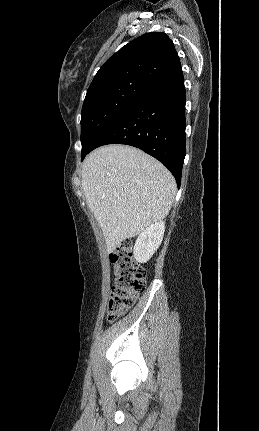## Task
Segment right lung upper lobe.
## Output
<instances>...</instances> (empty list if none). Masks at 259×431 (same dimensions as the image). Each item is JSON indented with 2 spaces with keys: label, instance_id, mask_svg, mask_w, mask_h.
I'll return each instance as SVG.
<instances>
[{
  "label": "right lung upper lobe",
  "instance_id": "obj_1",
  "mask_svg": "<svg viewBox=\"0 0 259 431\" xmlns=\"http://www.w3.org/2000/svg\"><path fill=\"white\" fill-rule=\"evenodd\" d=\"M181 74L172 40L165 33H146L123 46L103 64L86 97L130 82H140L152 88Z\"/></svg>",
  "mask_w": 259,
  "mask_h": 431
}]
</instances>
